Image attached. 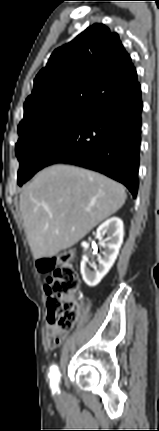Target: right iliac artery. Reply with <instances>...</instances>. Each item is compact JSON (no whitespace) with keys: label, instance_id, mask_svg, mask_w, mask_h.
Listing matches in <instances>:
<instances>
[{"label":"right iliac artery","instance_id":"right-iliac-artery-1","mask_svg":"<svg viewBox=\"0 0 159 431\" xmlns=\"http://www.w3.org/2000/svg\"><path fill=\"white\" fill-rule=\"evenodd\" d=\"M49 378H50V387H51L52 391L53 392L58 391L60 373H59L58 367L56 365H52L50 367Z\"/></svg>","mask_w":159,"mask_h":431}]
</instances>
